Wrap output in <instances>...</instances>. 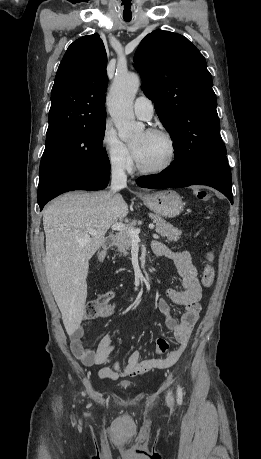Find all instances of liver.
<instances>
[{"instance_id": "6515ba94", "label": "liver", "mask_w": 261, "mask_h": 459, "mask_svg": "<svg viewBox=\"0 0 261 459\" xmlns=\"http://www.w3.org/2000/svg\"><path fill=\"white\" fill-rule=\"evenodd\" d=\"M127 214L123 197L113 198L108 191L67 193L43 213L46 277L70 336L84 315L89 260L104 243L109 228ZM90 229L96 234L80 246L77 239Z\"/></svg>"}]
</instances>
